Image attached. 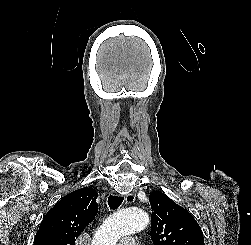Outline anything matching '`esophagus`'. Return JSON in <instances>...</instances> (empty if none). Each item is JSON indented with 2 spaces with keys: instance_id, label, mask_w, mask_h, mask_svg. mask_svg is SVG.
Segmentation results:
<instances>
[{
  "instance_id": "esophagus-1",
  "label": "esophagus",
  "mask_w": 251,
  "mask_h": 245,
  "mask_svg": "<svg viewBox=\"0 0 251 245\" xmlns=\"http://www.w3.org/2000/svg\"><path fill=\"white\" fill-rule=\"evenodd\" d=\"M126 203H133L135 201V196L132 193H129L125 196Z\"/></svg>"
}]
</instances>
